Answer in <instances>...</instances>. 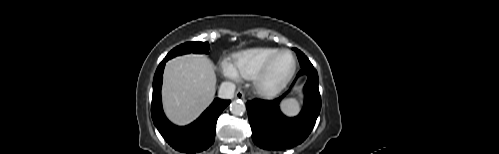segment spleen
<instances>
[{
    "label": "spleen",
    "mask_w": 499,
    "mask_h": 154,
    "mask_svg": "<svg viewBox=\"0 0 499 154\" xmlns=\"http://www.w3.org/2000/svg\"><path fill=\"white\" fill-rule=\"evenodd\" d=\"M283 112L289 116H294L300 109V102L297 98H287L280 104Z\"/></svg>",
    "instance_id": "3e777b00"
}]
</instances>
